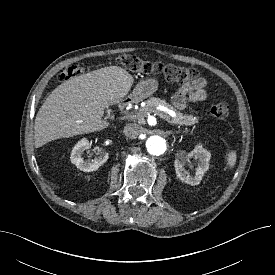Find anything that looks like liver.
Segmentation results:
<instances>
[{"mask_svg":"<svg viewBox=\"0 0 275 275\" xmlns=\"http://www.w3.org/2000/svg\"><path fill=\"white\" fill-rule=\"evenodd\" d=\"M134 79L118 66L71 78L55 88L39 109L34 125L35 147L107 128L104 110L128 95Z\"/></svg>","mask_w":275,"mask_h":275,"instance_id":"liver-1","label":"liver"}]
</instances>
